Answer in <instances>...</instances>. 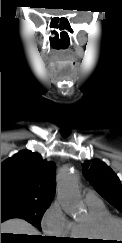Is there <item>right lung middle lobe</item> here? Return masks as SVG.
Returning a JSON list of instances; mask_svg holds the SVG:
<instances>
[{
	"label": "right lung middle lobe",
	"mask_w": 122,
	"mask_h": 243,
	"mask_svg": "<svg viewBox=\"0 0 122 243\" xmlns=\"http://www.w3.org/2000/svg\"><path fill=\"white\" fill-rule=\"evenodd\" d=\"M49 205L50 201L5 195L1 196V216L23 218L41 230V219Z\"/></svg>",
	"instance_id": "obj_1"
}]
</instances>
